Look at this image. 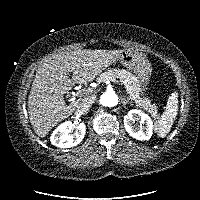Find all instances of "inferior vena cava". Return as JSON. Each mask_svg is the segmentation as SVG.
Returning <instances> with one entry per match:
<instances>
[{"mask_svg":"<svg viewBox=\"0 0 200 200\" xmlns=\"http://www.w3.org/2000/svg\"><path fill=\"white\" fill-rule=\"evenodd\" d=\"M95 98L94 97H84L78 107V112L86 113L90 110L92 105L94 104Z\"/></svg>","mask_w":200,"mask_h":200,"instance_id":"inferior-vena-cava-1","label":"inferior vena cava"}]
</instances>
